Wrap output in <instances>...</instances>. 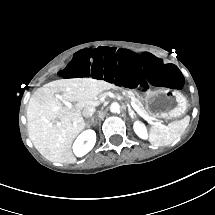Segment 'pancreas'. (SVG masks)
I'll use <instances>...</instances> for the list:
<instances>
[{
  "mask_svg": "<svg viewBox=\"0 0 215 215\" xmlns=\"http://www.w3.org/2000/svg\"><path fill=\"white\" fill-rule=\"evenodd\" d=\"M133 98V102L140 108V110L147 116H149L150 114L147 112V110L145 109V107L143 106L142 100L140 99V97L138 95L133 94L132 95Z\"/></svg>",
  "mask_w": 215,
  "mask_h": 215,
  "instance_id": "1",
  "label": "pancreas"
}]
</instances>
